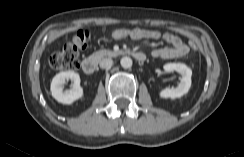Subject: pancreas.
Masks as SVG:
<instances>
[{
    "label": "pancreas",
    "mask_w": 244,
    "mask_h": 157,
    "mask_svg": "<svg viewBox=\"0 0 244 157\" xmlns=\"http://www.w3.org/2000/svg\"><path fill=\"white\" fill-rule=\"evenodd\" d=\"M118 53L111 51V50H99L95 53L92 54V57L95 58L96 60H100L104 57H115L117 56Z\"/></svg>",
    "instance_id": "cf45deb5"
}]
</instances>
